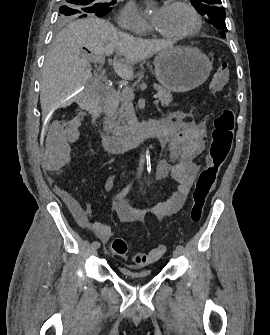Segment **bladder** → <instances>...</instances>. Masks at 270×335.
<instances>
[{
	"instance_id": "bladder-1",
	"label": "bladder",
	"mask_w": 270,
	"mask_h": 335,
	"mask_svg": "<svg viewBox=\"0 0 270 335\" xmlns=\"http://www.w3.org/2000/svg\"><path fill=\"white\" fill-rule=\"evenodd\" d=\"M122 274H124L128 280L133 281V282L139 281L141 279H148V278L153 277V271H146V272L139 274V273L130 272L128 270H125L124 272H122Z\"/></svg>"
}]
</instances>
